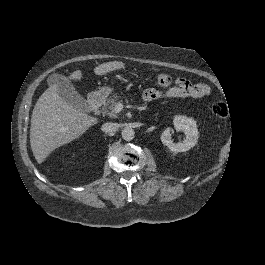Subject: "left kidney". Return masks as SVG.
<instances>
[{"mask_svg":"<svg viewBox=\"0 0 265 265\" xmlns=\"http://www.w3.org/2000/svg\"><path fill=\"white\" fill-rule=\"evenodd\" d=\"M173 124L177 132L185 133L186 139L183 143H174L171 138V132L174 129L167 127L160 136L162 143L173 153L188 152L197 144L199 138L196 122L184 116H177L174 118Z\"/></svg>","mask_w":265,"mask_h":265,"instance_id":"1","label":"left kidney"}]
</instances>
